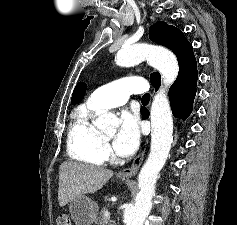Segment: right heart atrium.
<instances>
[{
	"mask_svg": "<svg viewBox=\"0 0 237 225\" xmlns=\"http://www.w3.org/2000/svg\"><path fill=\"white\" fill-rule=\"evenodd\" d=\"M102 152L105 157V159H110L111 158V150L109 145L106 142H103L102 145Z\"/></svg>",
	"mask_w": 237,
	"mask_h": 225,
	"instance_id": "obj_1",
	"label": "right heart atrium"
}]
</instances>
